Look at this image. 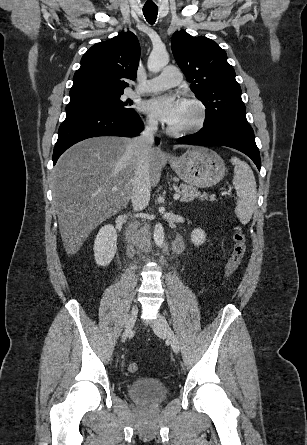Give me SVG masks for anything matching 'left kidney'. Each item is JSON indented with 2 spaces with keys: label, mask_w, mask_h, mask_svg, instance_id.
<instances>
[{
  "label": "left kidney",
  "mask_w": 307,
  "mask_h": 445,
  "mask_svg": "<svg viewBox=\"0 0 307 445\" xmlns=\"http://www.w3.org/2000/svg\"><path fill=\"white\" fill-rule=\"evenodd\" d=\"M191 241L195 247H198V245H202L204 241H206V235L202 229H194L191 233Z\"/></svg>",
  "instance_id": "1"
}]
</instances>
